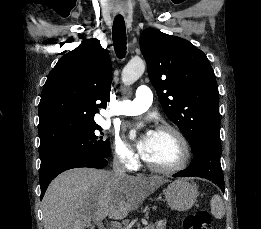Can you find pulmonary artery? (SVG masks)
<instances>
[{"instance_id": "1", "label": "pulmonary artery", "mask_w": 261, "mask_h": 229, "mask_svg": "<svg viewBox=\"0 0 261 229\" xmlns=\"http://www.w3.org/2000/svg\"><path fill=\"white\" fill-rule=\"evenodd\" d=\"M134 101H121L118 103L116 112L119 115L134 116L145 112L153 101L152 90L147 86H140L136 90Z\"/></svg>"}]
</instances>
